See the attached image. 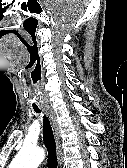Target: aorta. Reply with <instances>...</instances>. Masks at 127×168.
Returning <instances> with one entry per match:
<instances>
[{
	"label": "aorta",
	"mask_w": 127,
	"mask_h": 168,
	"mask_svg": "<svg viewBox=\"0 0 127 168\" xmlns=\"http://www.w3.org/2000/svg\"><path fill=\"white\" fill-rule=\"evenodd\" d=\"M44 155L42 149L24 146L9 168H37L43 161Z\"/></svg>",
	"instance_id": "762f6f07"
}]
</instances>
